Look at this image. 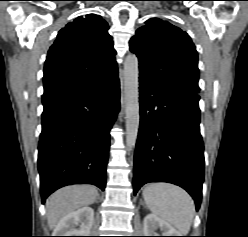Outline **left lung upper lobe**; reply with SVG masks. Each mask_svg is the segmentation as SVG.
I'll use <instances>...</instances> for the list:
<instances>
[{"instance_id":"5c2ea615","label":"left lung upper lobe","mask_w":248,"mask_h":237,"mask_svg":"<svg viewBox=\"0 0 248 237\" xmlns=\"http://www.w3.org/2000/svg\"><path fill=\"white\" fill-rule=\"evenodd\" d=\"M139 59L140 78L164 90L199 93L196 48L189 35L159 18H151L130 40Z\"/></svg>"}]
</instances>
